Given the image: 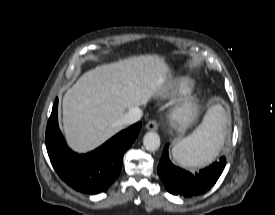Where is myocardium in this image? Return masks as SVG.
Here are the masks:
<instances>
[{
	"mask_svg": "<svg viewBox=\"0 0 275 215\" xmlns=\"http://www.w3.org/2000/svg\"><path fill=\"white\" fill-rule=\"evenodd\" d=\"M201 113L200 101L196 96H187L180 100L172 109L170 118L174 126L180 130L191 128Z\"/></svg>",
	"mask_w": 275,
	"mask_h": 215,
	"instance_id": "obj_1",
	"label": "myocardium"
}]
</instances>
